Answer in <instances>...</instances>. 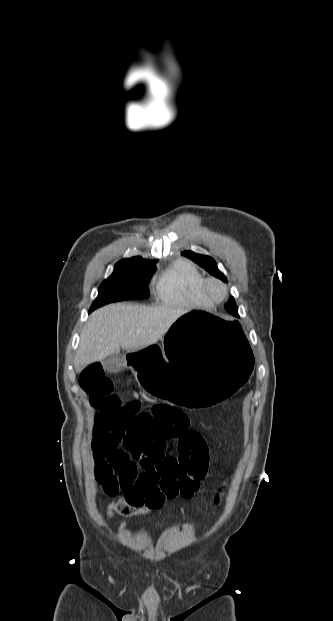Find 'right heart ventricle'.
<instances>
[{
	"label": "right heart ventricle",
	"instance_id": "obj_1",
	"mask_svg": "<svg viewBox=\"0 0 333 621\" xmlns=\"http://www.w3.org/2000/svg\"><path fill=\"white\" fill-rule=\"evenodd\" d=\"M205 278L199 269L185 259L171 263L157 278L155 295L168 305L212 308L203 292Z\"/></svg>",
	"mask_w": 333,
	"mask_h": 621
}]
</instances>
